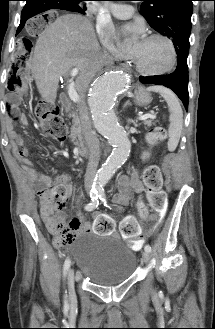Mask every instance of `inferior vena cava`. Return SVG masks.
Returning a JSON list of instances; mask_svg holds the SVG:
<instances>
[{"mask_svg": "<svg viewBox=\"0 0 215 329\" xmlns=\"http://www.w3.org/2000/svg\"><path fill=\"white\" fill-rule=\"evenodd\" d=\"M105 57L107 58L106 55ZM79 114H80V120L82 126V134L86 142V145L89 149V155H90L86 169V174H85V184L88 185V184H92L96 175L97 166L100 158V145L95 132L91 128V124L88 118L87 108L83 100L79 107Z\"/></svg>", "mask_w": 215, "mask_h": 329, "instance_id": "1", "label": "inferior vena cava"}]
</instances>
